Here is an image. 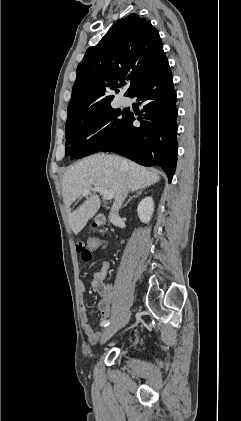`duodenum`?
Instances as JSON below:
<instances>
[{"mask_svg":"<svg viewBox=\"0 0 241 421\" xmlns=\"http://www.w3.org/2000/svg\"><path fill=\"white\" fill-rule=\"evenodd\" d=\"M104 220H105V219H104V217H103V216H101V215L97 217V222H98L99 224L104 223Z\"/></svg>","mask_w":241,"mask_h":421,"instance_id":"obj_1","label":"duodenum"}]
</instances>
